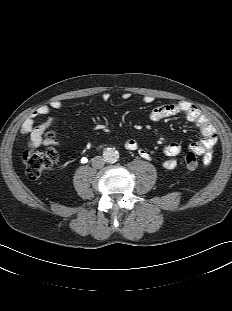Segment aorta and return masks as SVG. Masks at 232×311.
<instances>
[{
  "instance_id": "aorta-1",
  "label": "aorta",
  "mask_w": 232,
  "mask_h": 311,
  "mask_svg": "<svg viewBox=\"0 0 232 311\" xmlns=\"http://www.w3.org/2000/svg\"><path fill=\"white\" fill-rule=\"evenodd\" d=\"M103 158L107 163H115L119 158V153L114 148H106L103 151Z\"/></svg>"
}]
</instances>
